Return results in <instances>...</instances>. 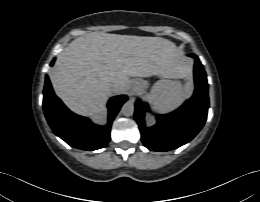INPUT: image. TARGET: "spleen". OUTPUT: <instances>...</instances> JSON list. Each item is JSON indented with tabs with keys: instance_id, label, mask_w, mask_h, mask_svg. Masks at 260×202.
Returning <instances> with one entry per match:
<instances>
[{
	"instance_id": "spleen-1",
	"label": "spleen",
	"mask_w": 260,
	"mask_h": 202,
	"mask_svg": "<svg viewBox=\"0 0 260 202\" xmlns=\"http://www.w3.org/2000/svg\"><path fill=\"white\" fill-rule=\"evenodd\" d=\"M188 96L179 82L171 80L159 83L151 94L154 107L160 112H168L177 108Z\"/></svg>"
}]
</instances>
